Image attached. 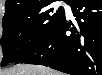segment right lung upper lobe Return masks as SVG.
<instances>
[{
  "instance_id": "1",
  "label": "right lung upper lobe",
  "mask_w": 102,
  "mask_h": 75,
  "mask_svg": "<svg viewBox=\"0 0 102 75\" xmlns=\"http://www.w3.org/2000/svg\"><path fill=\"white\" fill-rule=\"evenodd\" d=\"M54 0H6V14L14 13L24 9L36 8L42 4L52 2ZM68 1V0H67Z\"/></svg>"
}]
</instances>
